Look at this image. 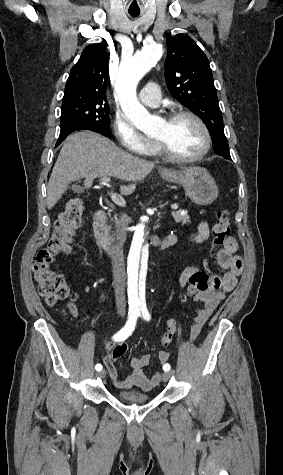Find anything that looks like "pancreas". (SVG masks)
<instances>
[{"label":"pancreas","mask_w":283,"mask_h":475,"mask_svg":"<svg viewBox=\"0 0 283 475\" xmlns=\"http://www.w3.org/2000/svg\"><path fill=\"white\" fill-rule=\"evenodd\" d=\"M175 222H181L182 226L183 224H188L190 222V216L188 214H182V210H179V212H173L172 214ZM124 232V230H122Z\"/></svg>","instance_id":"obj_1"}]
</instances>
